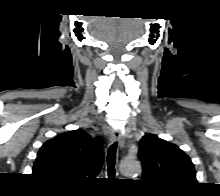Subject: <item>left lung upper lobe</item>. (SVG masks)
Segmentation results:
<instances>
[{
	"label": "left lung upper lobe",
	"instance_id": "1",
	"mask_svg": "<svg viewBox=\"0 0 220 196\" xmlns=\"http://www.w3.org/2000/svg\"><path fill=\"white\" fill-rule=\"evenodd\" d=\"M143 182L162 193H180L197 183L191 159L176 145L148 134L139 143Z\"/></svg>",
	"mask_w": 220,
	"mask_h": 196
}]
</instances>
